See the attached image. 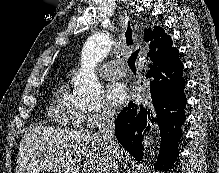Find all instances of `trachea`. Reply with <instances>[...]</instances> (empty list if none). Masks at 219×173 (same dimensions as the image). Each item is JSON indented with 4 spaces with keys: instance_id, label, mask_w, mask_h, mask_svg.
Segmentation results:
<instances>
[{
    "instance_id": "1",
    "label": "trachea",
    "mask_w": 219,
    "mask_h": 173,
    "mask_svg": "<svg viewBox=\"0 0 219 173\" xmlns=\"http://www.w3.org/2000/svg\"><path fill=\"white\" fill-rule=\"evenodd\" d=\"M125 37H126V44L127 46L133 44V39H132V31L130 27V23H128L127 30L125 32ZM139 50H136L131 54V56L128 59V65L131 69H135V62L138 56Z\"/></svg>"
}]
</instances>
